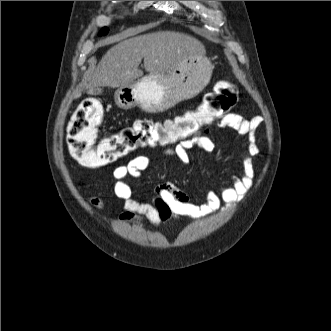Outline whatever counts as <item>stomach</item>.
I'll return each instance as SVG.
<instances>
[{
	"label": "stomach",
	"instance_id": "0dacf381",
	"mask_svg": "<svg viewBox=\"0 0 331 331\" xmlns=\"http://www.w3.org/2000/svg\"><path fill=\"white\" fill-rule=\"evenodd\" d=\"M214 66L205 54H196L166 76L146 75L120 87L116 104L123 109L139 107L147 113L164 112L199 94L210 81Z\"/></svg>",
	"mask_w": 331,
	"mask_h": 331
}]
</instances>
